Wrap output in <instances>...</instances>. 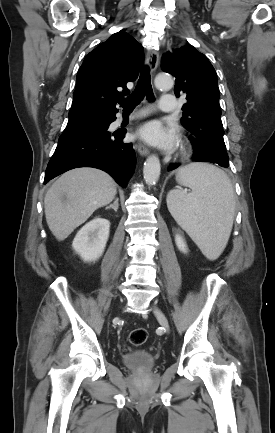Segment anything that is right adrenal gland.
Segmentation results:
<instances>
[{"label":"right adrenal gland","mask_w":275,"mask_h":433,"mask_svg":"<svg viewBox=\"0 0 275 433\" xmlns=\"http://www.w3.org/2000/svg\"><path fill=\"white\" fill-rule=\"evenodd\" d=\"M119 199L116 198L113 204H110L109 206H107L105 209H113L115 212H117L118 207H119V203H118Z\"/></svg>","instance_id":"right-adrenal-gland-1"}]
</instances>
